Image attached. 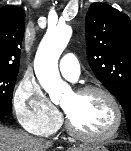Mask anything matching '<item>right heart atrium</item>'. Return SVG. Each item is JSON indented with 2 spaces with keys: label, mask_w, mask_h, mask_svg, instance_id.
I'll return each instance as SVG.
<instances>
[{
  "label": "right heart atrium",
  "mask_w": 131,
  "mask_h": 151,
  "mask_svg": "<svg viewBox=\"0 0 131 151\" xmlns=\"http://www.w3.org/2000/svg\"><path fill=\"white\" fill-rule=\"evenodd\" d=\"M12 104L19 124L31 134L49 135L61 122L60 112L33 79L25 77L19 82Z\"/></svg>",
  "instance_id": "d8ad5b80"
}]
</instances>
